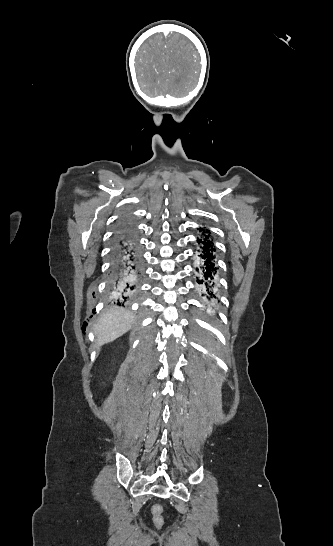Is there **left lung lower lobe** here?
Returning <instances> with one entry per match:
<instances>
[{
  "instance_id": "obj_1",
  "label": "left lung lower lobe",
  "mask_w": 333,
  "mask_h": 546,
  "mask_svg": "<svg viewBox=\"0 0 333 546\" xmlns=\"http://www.w3.org/2000/svg\"><path fill=\"white\" fill-rule=\"evenodd\" d=\"M203 236L197 241L201 244L199 256L200 262L196 267L198 273L197 283L199 284V292L207 302V306H212L217 302V276L218 271L215 264V246L210 238L209 230L201 229ZM205 233V234H204Z\"/></svg>"
}]
</instances>
